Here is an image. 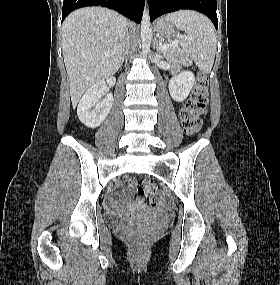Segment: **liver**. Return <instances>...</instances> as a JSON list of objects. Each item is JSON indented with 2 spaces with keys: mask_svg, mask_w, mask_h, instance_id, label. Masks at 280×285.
Returning <instances> with one entry per match:
<instances>
[{
  "mask_svg": "<svg viewBox=\"0 0 280 285\" xmlns=\"http://www.w3.org/2000/svg\"><path fill=\"white\" fill-rule=\"evenodd\" d=\"M129 22L119 13L86 7L62 25V51L75 108L83 93L114 75L121 66Z\"/></svg>",
  "mask_w": 280,
  "mask_h": 285,
  "instance_id": "obj_1",
  "label": "liver"
}]
</instances>
